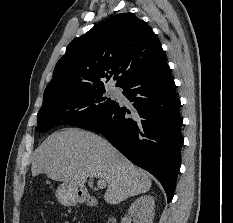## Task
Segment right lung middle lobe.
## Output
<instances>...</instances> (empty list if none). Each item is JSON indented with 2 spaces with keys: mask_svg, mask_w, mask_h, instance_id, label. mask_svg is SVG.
I'll return each mask as SVG.
<instances>
[{
  "mask_svg": "<svg viewBox=\"0 0 233 223\" xmlns=\"http://www.w3.org/2000/svg\"><path fill=\"white\" fill-rule=\"evenodd\" d=\"M104 92V87L94 88L42 105L36 130L45 132L61 124L81 127L89 123L117 104L116 100L103 97Z\"/></svg>",
  "mask_w": 233,
  "mask_h": 223,
  "instance_id": "right-lung-middle-lobe-1",
  "label": "right lung middle lobe"
}]
</instances>
